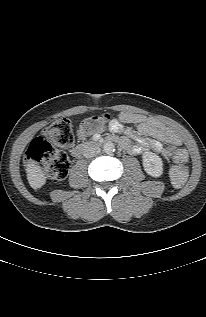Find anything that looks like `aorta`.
<instances>
[{
    "mask_svg": "<svg viewBox=\"0 0 206 317\" xmlns=\"http://www.w3.org/2000/svg\"><path fill=\"white\" fill-rule=\"evenodd\" d=\"M103 151L107 154H111L115 151V145L112 142H106L103 145Z\"/></svg>",
    "mask_w": 206,
    "mask_h": 317,
    "instance_id": "obj_1",
    "label": "aorta"
}]
</instances>
